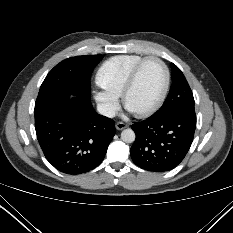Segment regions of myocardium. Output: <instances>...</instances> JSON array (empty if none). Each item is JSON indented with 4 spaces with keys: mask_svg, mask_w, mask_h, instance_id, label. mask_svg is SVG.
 Wrapping results in <instances>:
<instances>
[{
    "mask_svg": "<svg viewBox=\"0 0 233 233\" xmlns=\"http://www.w3.org/2000/svg\"><path fill=\"white\" fill-rule=\"evenodd\" d=\"M150 60H154L161 65L163 72H164V86H163V89H162V92H161L159 98L152 106H150L149 108L144 109L142 111L134 112L139 117H146V116L152 115L156 111H158L160 109V107L163 105V103L167 97V94L169 91V86H170V71H169V68L166 65V63L162 59H160L159 57H156V56L144 57L133 67V69L131 70V72L127 78V81H126V83L123 87L122 93H121L123 104L127 107V96L131 92V90L133 89V87L137 81V78H138V75H139L141 68L143 67V65L146 62H148Z\"/></svg>",
    "mask_w": 233,
    "mask_h": 233,
    "instance_id": "myocardium-1",
    "label": "myocardium"
}]
</instances>
